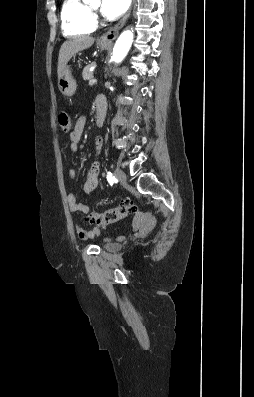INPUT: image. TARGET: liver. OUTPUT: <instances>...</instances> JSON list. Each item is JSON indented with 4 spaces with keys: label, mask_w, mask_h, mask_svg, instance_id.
<instances>
[{
    "label": "liver",
    "mask_w": 254,
    "mask_h": 397,
    "mask_svg": "<svg viewBox=\"0 0 254 397\" xmlns=\"http://www.w3.org/2000/svg\"><path fill=\"white\" fill-rule=\"evenodd\" d=\"M94 41L95 39L93 37L87 35L73 37L72 39L65 41L59 51L57 67L58 77L71 57L79 51H83L91 47Z\"/></svg>",
    "instance_id": "liver-1"
}]
</instances>
